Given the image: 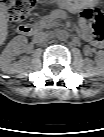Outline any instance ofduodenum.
I'll return each instance as SVG.
<instances>
[{
	"label": "duodenum",
	"mask_w": 104,
	"mask_h": 137,
	"mask_svg": "<svg viewBox=\"0 0 104 137\" xmlns=\"http://www.w3.org/2000/svg\"><path fill=\"white\" fill-rule=\"evenodd\" d=\"M34 26L32 24L23 23L18 27V31L23 36H31L34 33Z\"/></svg>",
	"instance_id": "duodenum-1"
}]
</instances>
